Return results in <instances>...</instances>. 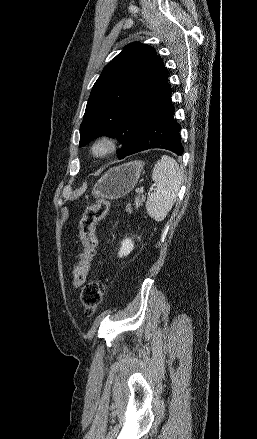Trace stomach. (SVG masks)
Returning <instances> with one entry per match:
<instances>
[{
	"label": "stomach",
	"mask_w": 257,
	"mask_h": 439,
	"mask_svg": "<svg viewBox=\"0 0 257 439\" xmlns=\"http://www.w3.org/2000/svg\"><path fill=\"white\" fill-rule=\"evenodd\" d=\"M143 166L142 161H131L109 169L94 185L92 195L111 200L126 196L135 187Z\"/></svg>",
	"instance_id": "stomach-1"
}]
</instances>
